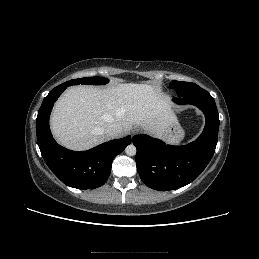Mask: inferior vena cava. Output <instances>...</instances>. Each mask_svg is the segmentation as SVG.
<instances>
[{
	"mask_svg": "<svg viewBox=\"0 0 259 259\" xmlns=\"http://www.w3.org/2000/svg\"><path fill=\"white\" fill-rule=\"evenodd\" d=\"M121 132L122 128L117 124H110L104 131V133L109 139H113L120 136Z\"/></svg>",
	"mask_w": 259,
	"mask_h": 259,
	"instance_id": "obj_1",
	"label": "inferior vena cava"
}]
</instances>
